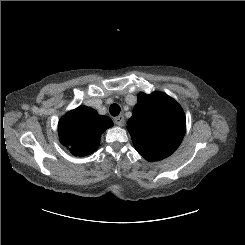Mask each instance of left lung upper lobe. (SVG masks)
Here are the masks:
<instances>
[{"label":"left lung upper lobe","mask_w":245,"mask_h":245,"mask_svg":"<svg viewBox=\"0 0 245 245\" xmlns=\"http://www.w3.org/2000/svg\"><path fill=\"white\" fill-rule=\"evenodd\" d=\"M127 129L136 151L148 161H158L179 147L186 118L180 105L168 95L140 92Z\"/></svg>","instance_id":"obj_1"}]
</instances>
